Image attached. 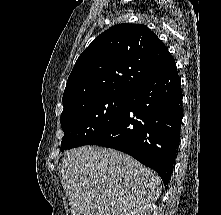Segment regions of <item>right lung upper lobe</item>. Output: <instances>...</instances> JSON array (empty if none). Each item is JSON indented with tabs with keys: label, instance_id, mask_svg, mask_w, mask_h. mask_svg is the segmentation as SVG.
Wrapping results in <instances>:
<instances>
[{
	"label": "right lung upper lobe",
	"instance_id": "1",
	"mask_svg": "<svg viewBox=\"0 0 221 215\" xmlns=\"http://www.w3.org/2000/svg\"><path fill=\"white\" fill-rule=\"evenodd\" d=\"M173 62L167 47L147 26L115 25L77 59L64 90L63 106L99 95H129Z\"/></svg>",
	"mask_w": 221,
	"mask_h": 215
}]
</instances>
